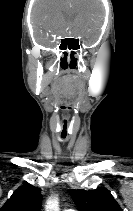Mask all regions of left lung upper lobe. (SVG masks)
I'll list each match as a JSON object with an SVG mask.
<instances>
[{"label": "left lung upper lobe", "mask_w": 133, "mask_h": 211, "mask_svg": "<svg viewBox=\"0 0 133 211\" xmlns=\"http://www.w3.org/2000/svg\"><path fill=\"white\" fill-rule=\"evenodd\" d=\"M70 194L80 211H122L110 191L104 187L94 190H71Z\"/></svg>", "instance_id": "obj_1"}]
</instances>
